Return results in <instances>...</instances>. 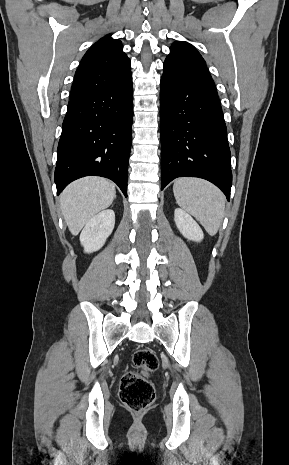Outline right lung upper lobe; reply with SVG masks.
<instances>
[{
    "instance_id": "obj_1",
    "label": "right lung upper lobe",
    "mask_w": 289,
    "mask_h": 465,
    "mask_svg": "<svg viewBox=\"0 0 289 465\" xmlns=\"http://www.w3.org/2000/svg\"><path fill=\"white\" fill-rule=\"evenodd\" d=\"M121 41L106 35L93 44L76 70L70 99L114 87L131 75Z\"/></svg>"
}]
</instances>
